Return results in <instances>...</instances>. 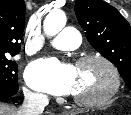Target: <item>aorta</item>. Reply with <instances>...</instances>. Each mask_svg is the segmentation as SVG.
Wrapping results in <instances>:
<instances>
[{
  "instance_id": "aorta-1",
  "label": "aorta",
  "mask_w": 131,
  "mask_h": 115,
  "mask_svg": "<svg viewBox=\"0 0 131 115\" xmlns=\"http://www.w3.org/2000/svg\"><path fill=\"white\" fill-rule=\"evenodd\" d=\"M66 15L60 10L51 11L45 18L43 29L46 35L54 36L58 34L66 25Z\"/></svg>"
}]
</instances>
